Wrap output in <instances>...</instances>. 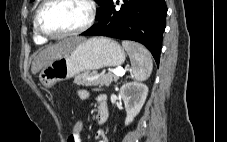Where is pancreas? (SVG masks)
Listing matches in <instances>:
<instances>
[{
	"instance_id": "pancreas-1",
	"label": "pancreas",
	"mask_w": 227,
	"mask_h": 142,
	"mask_svg": "<svg viewBox=\"0 0 227 142\" xmlns=\"http://www.w3.org/2000/svg\"><path fill=\"white\" fill-rule=\"evenodd\" d=\"M118 77L108 73L99 75L96 72L84 71L74 78V83L83 86H109L111 82L117 81Z\"/></svg>"
}]
</instances>
